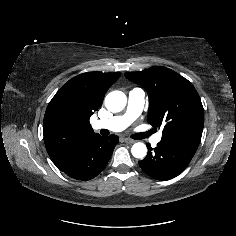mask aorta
Masks as SVG:
<instances>
[{
	"label": "aorta",
	"instance_id": "aorta-1",
	"mask_svg": "<svg viewBox=\"0 0 236 236\" xmlns=\"http://www.w3.org/2000/svg\"><path fill=\"white\" fill-rule=\"evenodd\" d=\"M127 103L126 95L121 91H112L105 97V106L111 112L122 111ZM131 153L135 158L142 159L147 154V147L144 143H135L131 148Z\"/></svg>",
	"mask_w": 236,
	"mask_h": 236
}]
</instances>
